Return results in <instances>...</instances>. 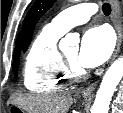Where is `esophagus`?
Masks as SVG:
<instances>
[{
    "label": "esophagus",
    "mask_w": 123,
    "mask_h": 113,
    "mask_svg": "<svg viewBox=\"0 0 123 113\" xmlns=\"http://www.w3.org/2000/svg\"><path fill=\"white\" fill-rule=\"evenodd\" d=\"M110 4L112 6V21H113V25L117 33V44H116V48H115L114 55H113V60H114L115 57L118 55L121 44H122V24H121V17H120V6H119L118 1L110 0ZM96 86H97V82L93 83L88 88L84 89L82 91V94L84 96L93 95V92Z\"/></svg>",
    "instance_id": "34e87169"
}]
</instances>
